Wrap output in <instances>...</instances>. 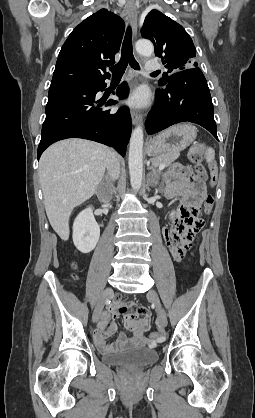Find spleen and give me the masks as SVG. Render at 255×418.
<instances>
[{
    "mask_svg": "<svg viewBox=\"0 0 255 418\" xmlns=\"http://www.w3.org/2000/svg\"><path fill=\"white\" fill-rule=\"evenodd\" d=\"M214 155H215V152H214V150H213V148H208L207 150H206V154H205V159H206V162L210 165L211 163H213V160H214Z\"/></svg>",
    "mask_w": 255,
    "mask_h": 418,
    "instance_id": "obj_1",
    "label": "spleen"
}]
</instances>
